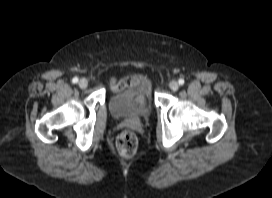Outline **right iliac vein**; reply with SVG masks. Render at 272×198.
Segmentation results:
<instances>
[{
	"label": "right iliac vein",
	"mask_w": 272,
	"mask_h": 198,
	"mask_svg": "<svg viewBox=\"0 0 272 198\" xmlns=\"http://www.w3.org/2000/svg\"><path fill=\"white\" fill-rule=\"evenodd\" d=\"M78 85L80 88L84 89L87 87L88 85V81L84 78L80 79V81L78 82Z\"/></svg>",
	"instance_id": "1"
}]
</instances>
